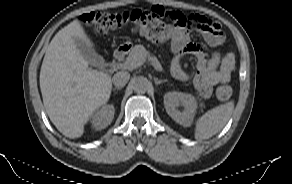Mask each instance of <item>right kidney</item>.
Wrapping results in <instances>:
<instances>
[{"mask_svg": "<svg viewBox=\"0 0 292 184\" xmlns=\"http://www.w3.org/2000/svg\"><path fill=\"white\" fill-rule=\"evenodd\" d=\"M115 108L113 105H103L91 117L92 127L96 130L106 128L114 118Z\"/></svg>", "mask_w": 292, "mask_h": 184, "instance_id": "1", "label": "right kidney"}]
</instances>
